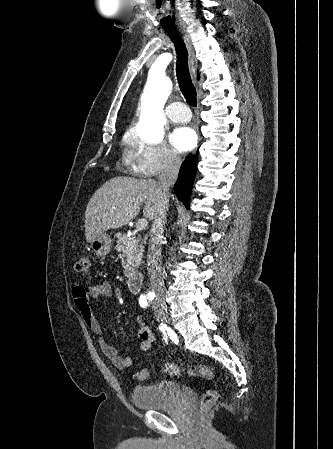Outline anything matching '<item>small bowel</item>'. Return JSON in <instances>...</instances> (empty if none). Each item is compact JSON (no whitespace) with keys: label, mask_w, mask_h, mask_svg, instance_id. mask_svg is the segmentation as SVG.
Masks as SVG:
<instances>
[{"label":"small bowel","mask_w":333,"mask_h":449,"mask_svg":"<svg viewBox=\"0 0 333 449\" xmlns=\"http://www.w3.org/2000/svg\"><path fill=\"white\" fill-rule=\"evenodd\" d=\"M111 297L112 288L106 281L89 286L77 283L72 287L74 305L84 324L94 333L99 335L98 343L102 352L110 359L116 368L125 369L132 365V358L120 356L117 349L101 336V328L90 306V298L109 300ZM137 321L139 323V328L136 333L138 347L142 352H147L153 345L154 337L151 330L143 323L141 317H138Z\"/></svg>","instance_id":"c3829d8e"}]
</instances>
